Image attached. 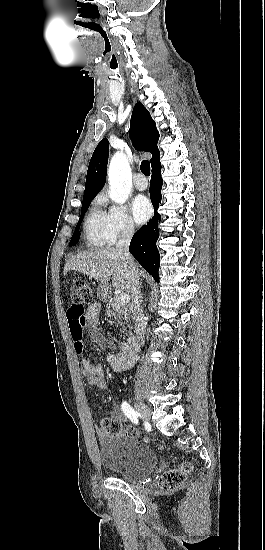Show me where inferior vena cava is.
Instances as JSON below:
<instances>
[{
	"label": "inferior vena cava",
	"mask_w": 265,
	"mask_h": 550,
	"mask_svg": "<svg viewBox=\"0 0 265 550\" xmlns=\"http://www.w3.org/2000/svg\"><path fill=\"white\" fill-rule=\"evenodd\" d=\"M134 234L133 224H127L122 232V236L116 244L117 252L122 255L125 263L128 265L129 275L131 278V293L133 300V319L135 322V333L138 342L143 345L145 338V322L143 310L140 301L139 290V273L136 265L133 261L131 254L129 253V245Z\"/></svg>",
	"instance_id": "inferior-vena-cava-1"
}]
</instances>
